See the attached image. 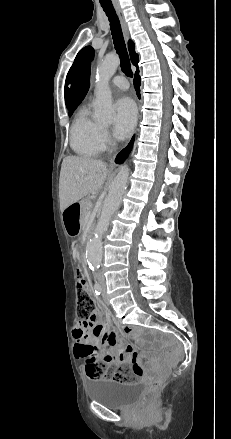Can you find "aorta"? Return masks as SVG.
Returning a JSON list of instances; mask_svg holds the SVG:
<instances>
[{
    "label": "aorta",
    "mask_w": 231,
    "mask_h": 439,
    "mask_svg": "<svg viewBox=\"0 0 231 439\" xmlns=\"http://www.w3.org/2000/svg\"><path fill=\"white\" fill-rule=\"evenodd\" d=\"M119 65V58L115 54L107 55L97 67L96 72V100L94 118L103 123L112 119L113 105L109 81ZM129 168L123 166L113 180L109 193L103 203L92 239L86 246L88 264L93 269L100 267L103 257L102 237L107 231L111 216L119 207L127 188Z\"/></svg>",
    "instance_id": "obj_1"
}]
</instances>
